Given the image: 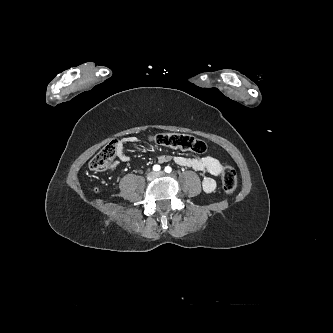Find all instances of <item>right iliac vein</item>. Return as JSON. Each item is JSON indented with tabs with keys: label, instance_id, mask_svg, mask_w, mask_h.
Listing matches in <instances>:
<instances>
[{
	"label": "right iliac vein",
	"instance_id": "63e3f726",
	"mask_svg": "<svg viewBox=\"0 0 333 333\" xmlns=\"http://www.w3.org/2000/svg\"><path fill=\"white\" fill-rule=\"evenodd\" d=\"M156 177V173L155 172H149L147 174V179L148 180H153Z\"/></svg>",
	"mask_w": 333,
	"mask_h": 333
}]
</instances>
